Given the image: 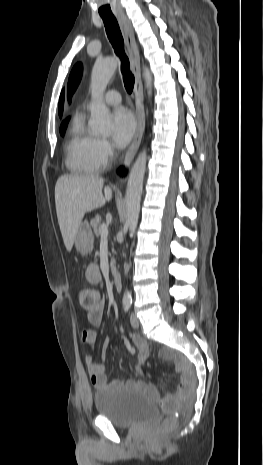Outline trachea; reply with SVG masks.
I'll return each mask as SVG.
<instances>
[{
    "instance_id": "obj_1",
    "label": "trachea",
    "mask_w": 263,
    "mask_h": 465,
    "mask_svg": "<svg viewBox=\"0 0 263 465\" xmlns=\"http://www.w3.org/2000/svg\"><path fill=\"white\" fill-rule=\"evenodd\" d=\"M104 22L106 33L110 43L112 44L114 51L117 56L121 59V72L123 75V81L125 89L128 93L133 91L134 87V76L130 71V63L128 57L124 51V40L118 25V22L114 16H101Z\"/></svg>"
}]
</instances>
